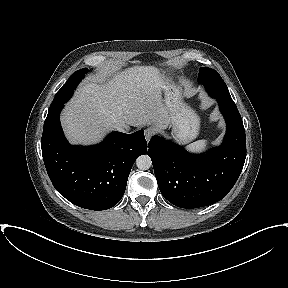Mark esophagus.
Returning <instances> with one entry per match:
<instances>
[{
  "label": "esophagus",
  "mask_w": 288,
  "mask_h": 288,
  "mask_svg": "<svg viewBox=\"0 0 288 288\" xmlns=\"http://www.w3.org/2000/svg\"><path fill=\"white\" fill-rule=\"evenodd\" d=\"M153 135H154V130L152 128L145 129V139L147 141H149Z\"/></svg>",
  "instance_id": "34e87169"
}]
</instances>
